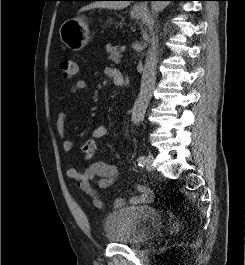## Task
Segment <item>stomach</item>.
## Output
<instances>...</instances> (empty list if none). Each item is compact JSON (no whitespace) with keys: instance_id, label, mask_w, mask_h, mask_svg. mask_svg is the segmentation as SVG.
<instances>
[{"instance_id":"1","label":"stomach","mask_w":245,"mask_h":265,"mask_svg":"<svg viewBox=\"0 0 245 265\" xmlns=\"http://www.w3.org/2000/svg\"><path fill=\"white\" fill-rule=\"evenodd\" d=\"M143 11H131L132 18H140ZM60 39L72 51L82 50L90 41L88 23L84 16L66 20L59 29Z\"/></svg>"}]
</instances>
